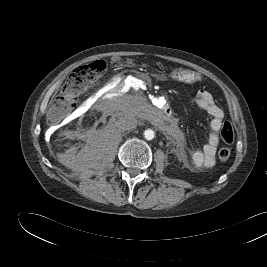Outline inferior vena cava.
<instances>
[{"label": "inferior vena cava", "mask_w": 267, "mask_h": 267, "mask_svg": "<svg viewBox=\"0 0 267 267\" xmlns=\"http://www.w3.org/2000/svg\"><path fill=\"white\" fill-rule=\"evenodd\" d=\"M137 120L134 117L131 116H123L120 117L116 121V126L121 131H130L136 128Z\"/></svg>", "instance_id": "602c4592"}]
</instances>
